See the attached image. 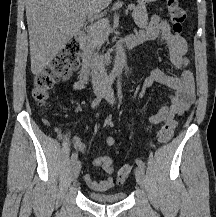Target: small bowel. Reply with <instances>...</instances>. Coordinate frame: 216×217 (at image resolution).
<instances>
[{"label": "small bowel", "mask_w": 216, "mask_h": 217, "mask_svg": "<svg viewBox=\"0 0 216 217\" xmlns=\"http://www.w3.org/2000/svg\"><path fill=\"white\" fill-rule=\"evenodd\" d=\"M138 35L142 37V42L160 38L168 48L170 62L181 71L179 76H172L166 74L161 69L156 68L142 83L140 95H143L146 90L154 84H160L172 90V93L168 97V101H164L158 112L149 119L150 124L157 125L183 115L189 110L194 102L195 84L193 73L188 69L190 63L188 57V45L186 40L179 34L173 32L168 22L159 15L154 16L150 24ZM87 82L88 75L79 73L78 81L73 87L75 89L82 88ZM73 143L78 151H86V146L78 136L73 137ZM114 144L115 139L113 137H106V148H110L114 146ZM106 161H112V159L104 151L94 159L93 164L96 167H103V164ZM84 180L89 187L97 191H107L113 186L112 178L97 180L88 173L84 175Z\"/></svg>", "instance_id": "c3829d8e"}]
</instances>
